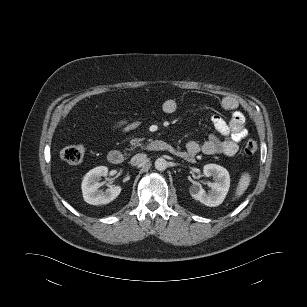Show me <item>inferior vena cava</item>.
Wrapping results in <instances>:
<instances>
[{"instance_id":"inferior-vena-cava-1","label":"inferior vena cava","mask_w":307,"mask_h":307,"mask_svg":"<svg viewBox=\"0 0 307 307\" xmlns=\"http://www.w3.org/2000/svg\"><path fill=\"white\" fill-rule=\"evenodd\" d=\"M146 158H147L146 154L139 153V154H136L135 156H133L131 158L130 163H131V165L136 166V165H139L140 163H142L143 161H145Z\"/></svg>"}]
</instances>
